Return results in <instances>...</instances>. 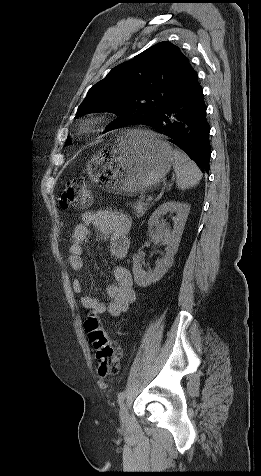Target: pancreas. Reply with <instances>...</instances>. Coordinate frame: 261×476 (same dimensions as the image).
I'll list each match as a JSON object with an SVG mask.
<instances>
[{
	"instance_id": "cf45deb5",
	"label": "pancreas",
	"mask_w": 261,
	"mask_h": 476,
	"mask_svg": "<svg viewBox=\"0 0 261 476\" xmlns=\"http://www.w3.org/2000/svg\"><path fill=\"white\" fill-rule=\"evenodd\" d=\"M152 204L145 202L143 198L137 200L133 203V213L136 217H142L148 209H150Z\"/></svg>"
}]
</instances>
